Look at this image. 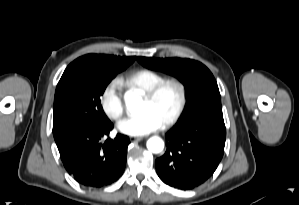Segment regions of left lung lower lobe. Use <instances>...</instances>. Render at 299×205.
<instances>
[{
	"label": "left lung lower lobe",
	"instance_id": "left-lung-lower-lobe-1",
	"mask_svg": "<svg viewBox=\"0 0 299 205\" xmlns=\"http://www.w3.org/2000/svg\"><path fill=\"white\" fill-rule=\"evenodd\" d=\"M166 139V153L155 163L159 178L177 189H193L214 173L223 157V114L215 112L194 121H177Z\"/></svg>",
	"mask_w": 299,
	"mask_h": 205
}]
</instances>
